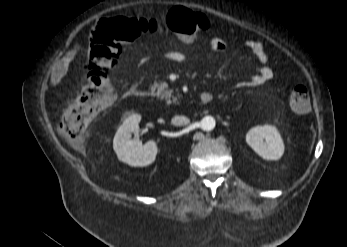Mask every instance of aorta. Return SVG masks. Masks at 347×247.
Masks as SVG:
<instances>
[{"mask_svg": "<svg viewBox=\"0 0 347 247\" xmlns=\"http://www.w3.org/2000/svg\"><path fill=\"white\" fill-rule=\"evenodd\" d=\"M201 128L204 131H211L215 128V119L212 116H206L201 120Z\"/></svg>", "mask_w": 347, "mask_h": 247, "instance_id": "obj_1", "label": "aorta"}]
</instances>
